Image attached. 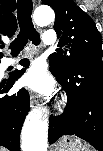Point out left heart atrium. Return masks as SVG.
<instances>
[{"mask_svg":"<svg viewBox=\"0 0 103 151\" xmlns=\"http://www.w3.org/2000/svg\"><path fill=\"white\" fill-rule=\"evenodd\" d=\"M21 84L29 90L45 94L52 88V80L41 62H35L21 78Z\"/></svg>","mask_w":103,"mask_h":151,"instance_id":"1","label":"left heart atrium"}]
</instances>
